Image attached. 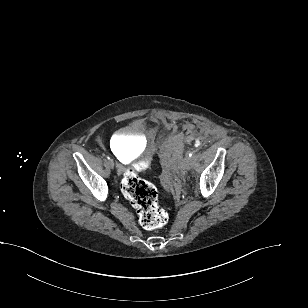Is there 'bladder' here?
<instances>
[{"mask_svg": "<svg viewBox=\"0 0 308 308\" xmlns=\"http://www.w3.org/2000/svg\"><path fill=\"white\" fill-rule=\"evenodd\" d=\"M110 146L120 161L127 162L145 149L146 141L138 127L129 126L114 134Z\"/></svg>", "mask_w": 308, "mask_h": 308, "instance_id": "31cf9c89", "label": "bladder"}]
</instances>
